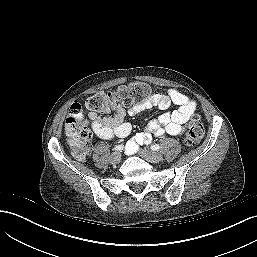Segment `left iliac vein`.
Wrapping results in <instances>:
<instances>
[{"mask_svg": "<svg viewBox=\"0 0 257 257\" xmlns=\"http://www.w3.org/2000/svg\"><path fill=\"white\" fill-rule=\"evenodd\" d=\"M139 154L147 161L152 163H158L163 160V156L159 153L146 151V150H140Z\"/></svg>", "mask_w": 257, "mask_h": 257, "instance_id": "obj_1", "label": "left iliac vein"}]
</instances>
